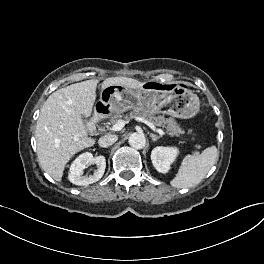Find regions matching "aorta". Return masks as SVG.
Instances as JSON below:
<instances>
[{"label": "aorta", "instance_id": "762f6f07", "mask_svg": "<svg viewBox=\"0 0 264 264\" xmlns=\"http://www.w3.org/2000/svg\"><path fill=\"white\" fill-rule=\"evenodd\" d=\"M129 144L135 149H142L146 144V138L141 133H132L129 137Z\"/></svg>", "mask_w": 264, "mask_h": 264}]
</instances>
